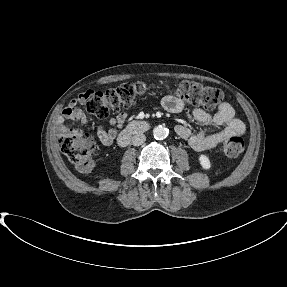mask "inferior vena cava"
I'll use <instances>...</instances> for the list:
<instances>
[{
    "label": "inferior vena cava",
    "instance_id": "obj_1",
    "mask_svg": "<svg viewBox=\"0 0 287 287\" xmlns=\"http://www.w3.org/2000/svg\"><path fill=\"white\" fill-rule=\"evenodd\" d=\"M146 141V136L144 134H135L132 137V144L134 146H140Z\"/></svg>",
    "mask_w": 287,
    "mask_h": 287
}]
</instances>
